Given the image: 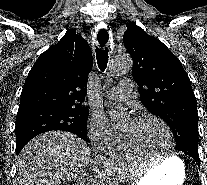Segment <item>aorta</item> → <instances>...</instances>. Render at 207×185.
<instances>
[{"mask_svg": "<svg viewBox=\"0 0 207 185\" xmlns=\"http://www.w3.org/2000/svg\"><path fill=\"white\" fill-rule=\"evenodd\" d=\"M132 59L128 54L116 55L108 65V77L122 76L132 69ZM110 117L114 126L121 127L125 120V115L113 109L110 110Z\"/></svg>", "mask_w": 207, "mask_h": 185, "instance_id": "obj_1", "label": "aorta"}]
</instances>
